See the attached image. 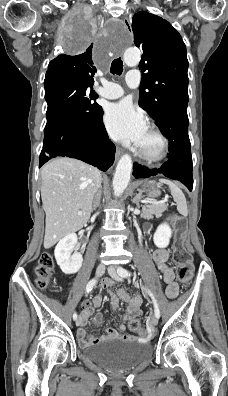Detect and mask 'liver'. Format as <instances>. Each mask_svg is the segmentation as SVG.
Returning <instances> with one entry per match:
<instances>
[{"mask_svg": "<svg viewBox=\"0 0 228 396\" xmlns=\"http://www.w3.org/2000/svg\"><path fill=\"white\" fill-rule=\"evenodd\" d=\"M41 177L46 214L44 248L48 249L87 224L102 179L97 168L72 158L50 161L42 168Z\"/></svg>", "mask_w": 228, "mask_h": 396, "instance_id": "liver-1", "label": "liver"}]
</instances>
